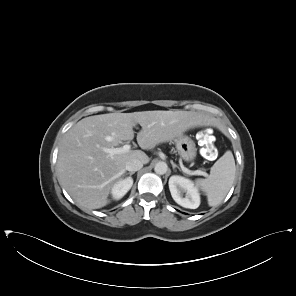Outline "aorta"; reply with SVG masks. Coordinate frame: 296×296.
<instances>
[{
  "label": "aorta",
  "mask_w": 296,
  "mask_h": 296,
  "mask_svg": "<svg viewBox=\"0 0 296 296\" xmlns=\"http://www.w3.org/2000/svg\"><path fill=\"white\" fill-rule=\"evenodd\" d=\"M168 166L165 162H158L154 167L156 174L163 175L167 172Z\"/></svg>",
  "instance_id": "aorta-1"
}]
</instances>
